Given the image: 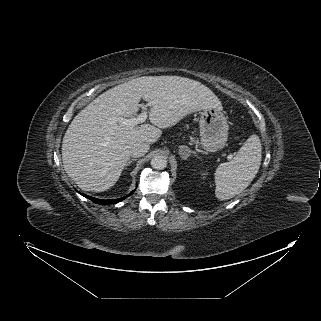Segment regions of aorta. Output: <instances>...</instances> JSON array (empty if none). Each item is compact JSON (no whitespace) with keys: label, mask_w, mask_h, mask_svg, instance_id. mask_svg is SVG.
Wrapping results in <instances>:
<instances>
[{"label":"aorta","mask_w":321,"mask_h":321,"mask_svg":"<svg viewBox=\"0 0 321 321\" xmlns=\"http://www.w3.org/2000/svg\"><path fill=\"white\" fill-rule=\"evenodd\" d=\"M151 166L155 169L162 170L167 166V160L162 155H156L151 159Z\"/></svg>","instance_id":"obj_1"}]
</instances>
